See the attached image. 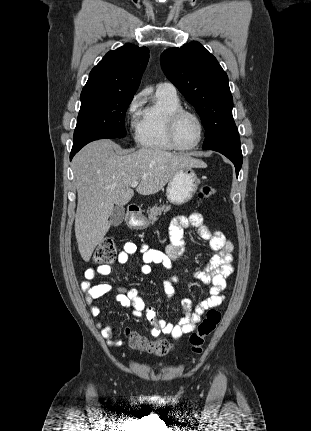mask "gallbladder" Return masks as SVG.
<instances>
[{
	"mask_svg": "<svg viewBox=\"0 0 311 431\" xmlns=\"http://www.w3.org/2000/svg\"><path fill=\"white\" fill-rule=\"evenodd\" d=\"M125 216V208H119V206H116V208H113V212L110 216V221L112 225H120L122 223Z\"/></svg>",
	"mask_w": 311,
	"mask_h": 431,
	"instance_id": "1",
	"label": "gallbladder"
}]
</instances>
